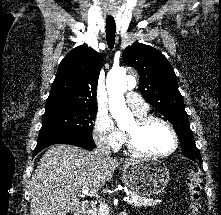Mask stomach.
<instances>
[{
  "instance_id": "stomach-1",
  "label": "stomach",
  "mask_w": 221,
  "mask_h": 215,
  "mask_svg": "<svg viewBox=\"0 0 221 215\" xmlns=\"http://www.w3.org/2000/svg\"><path fill=\"white\" fill-rule=\"evenodd\" d=\"M122 181L131 194L152 196L167 186L169 170L160 160L136 159L124 164Z\"/></svg>"
}]
</instances>
